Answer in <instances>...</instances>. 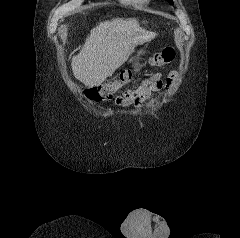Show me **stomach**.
I'll return each mask as SVG.
<instances>
[{
	"label": "stomach",
	"mask_w": 240,
	"mask_h": 238,
	"mask_svg": "<svg viewBox=\"0 0 240 238\" xmlns=\"http://www.w3.org/2000/svg\"><path fill=\"white\" fill-rule=\"evenodd\" d=\"M147 52L146 48H141L140 50H138L136 52V55H134L131 60L130 63H132V68L133 71L137 72L141 69L142 65L140 64V60L142 59V56Z\"/></svg>",
	"instance_id": "obj_1"
}]
</instances>
